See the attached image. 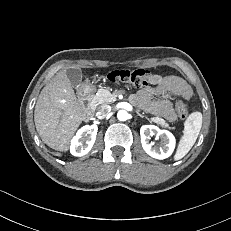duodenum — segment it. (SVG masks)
Returning <instances> with one entry per match:
<instances>
[{"mask_svg": "<svg viewBox=\"0 0 231 231\" xmlns=\"http://www.w3.org/2000/svg\"><path fill=\"white\" fill-rule=\"evenodd\" d=\"M79 99L83 104V112L89 114L93 111L92 93L89 88H82L79 93Z\"/></svg>", "mask_w": 231, "mask_h": 231, "instance_id": "1", "label": "duodenum"}]
</instances>
